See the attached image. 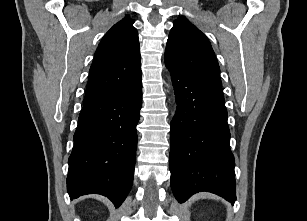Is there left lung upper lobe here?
Wrapping results in <instances>:
<instances>
[{
  "instance_id": "left-lung-upper-lobe-1",
  "label": "left lung upper lobe",
  "mask_w": 307,
  "mask_h": 221,
  "mask_svg": "<svg viewBox=\"0 0 307 221\" xmlns=\"http://www.w3.org/2000/svg\"><path fill=\"white\" fill-rule=\"evenodd\" d=\"M165 57L205 87L223 95L219 65L207 37L187 18L179 17L171 29Z\"/></svg>"
}]
</instances>
